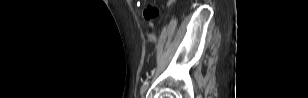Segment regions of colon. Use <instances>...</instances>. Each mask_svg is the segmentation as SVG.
<instances>
[{"instance_id":"5ec220e1","label":"colon","mask_w":308,"mask_h":98,"mask_svg":"<svg viewBox=\"0 0 308 98\" xmlns=\"http://www.w3.org/2000/svg\"><path fill=\"white\" fill-rule=\"evenodd\" d=\"M158 14V9L156 7L148 8L144 11V15L148 16L149 18L155 17ZM149 40L155 41V35L149 34L148 35Z\"/></svg>"}]
</instances>
